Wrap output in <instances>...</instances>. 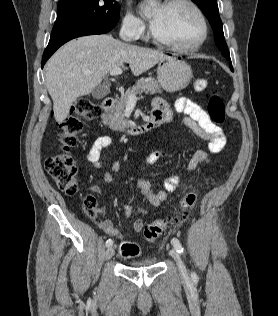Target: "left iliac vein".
Masks as SVG:
<instances>
[{"mask_svg": "<svg viewBox=\"0 0 278 316\" xmlns=\"http://www.w3.org/2000/svg\"><path fill=\"white\" fill-rule=\"evenodd\" d=\"M170 255L173 257V259L175 260L176 264H177V267H178V270L180 272V274L182 276H187V271H186V268H185V265L179 255V253L176 251L175 248L171 249L170 250Z\"/></svg>", "mask_w": 278, "mask_h": 316, "instance_id": "obj_1", "label": "left iliac vein"}]
</instances>
